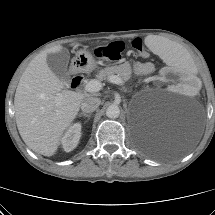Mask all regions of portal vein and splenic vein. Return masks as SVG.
Wrapping results in <instances>:
<instances>
[{"mask_svg": "<svg viewBox=\"0 0 215 215\" xmlns=\"http://www.w3.org/2000/svg\"><path fill=\"white\" fill-rule=\"evenodd\" d=\"M109 81L117 85H123L124 83L122 78L117 75L110 76ZM84 88L87 92H98L102 88V83L97 80H91L86 83Z\"/></svg>", "mask_w": 215, "mask_h": 215, "instance_id": "obj_1", "label": "portal vein and splenic vein"}]
</instances>
